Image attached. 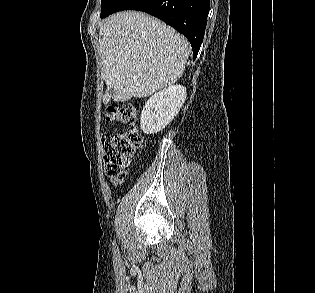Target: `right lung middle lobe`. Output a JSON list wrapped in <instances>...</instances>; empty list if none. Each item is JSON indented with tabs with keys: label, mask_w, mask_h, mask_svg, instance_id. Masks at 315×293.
I'll return each mask as SVG.
<instances>
[{
	"label": "right lung middle lobe",
	"mask_w": 315,
	"mask_h": 293,
	"mask_svg": "<svg viewBox=\"0 0 315 293\" xmlns=\"http://www.w3.org/2000/svg\"><path fill=\"white\" fill-rule=\"evenodd\" d=\"M111 1L112 0H101V15H100V17L106 12Z\"/></svg>",
	"instance_id": "dd1d6c3e"
}]
</instances>
